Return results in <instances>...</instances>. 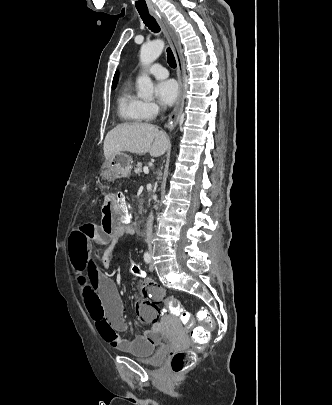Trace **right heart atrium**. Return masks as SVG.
<instances>
[{
    "label": "right heart atrium",
    "mask_w": 332,
    "mask_h": 405,
    "mask_svg": "<svg viewBox=\"0 0 332 405\" xmlns=\"http://www.w3.org/2000/svg\"><path fill=\"white\" fill-rule=\"evenodd\" d=\"M160 108L156 103L153 102H145L144 103V111L147 118H153L158 112Z\"/></svg>",
    "instance_id": "1"
}]
</instances>
